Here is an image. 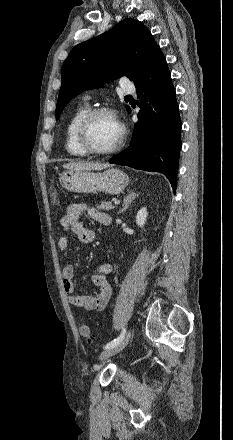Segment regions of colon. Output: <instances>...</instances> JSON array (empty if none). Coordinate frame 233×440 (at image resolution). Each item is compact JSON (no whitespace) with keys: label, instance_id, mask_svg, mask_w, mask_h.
<instances>
[{"label":"colon","instance_id":"5ec220e1","mask_svg":"<svg viewBox=\"0 0 233 440\" xmlns=\"http://www.w3.org/2000/svg\"><path fill=\"white\" fill-rule=\"evenodd\" d=\"M49 195H50V199L52 201V203L54 204H59L60 200H59V195L57 192V189L54 185V183L52 182L49 188ZM79 331H80V335L85 338L86 340L92 342L94 340L91 332H90V328L86 323H82L79 327Z\"/></svg>","mask_w":233,"mask_h":440}]
</instances>
